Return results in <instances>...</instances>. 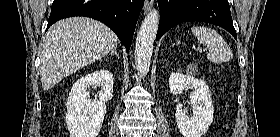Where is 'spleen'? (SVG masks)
I'll return each instance as SVG.
<instances>
[{
    "instance_id": "obj_1",
    "label": "spleen",
    "mask_w": 280,
    "mask_h": 137,
    "mask_svg": "<svg viewBox=\"0 0 280 137\" xmlns=\"http://www.w3.org/2000/svg\"><path fill=\"white\" fill-rule=\"evenodd\" d=\"M191 31L200 44L208 47L209 52L207 57L212 62H229L233 58L231 48L223 37L214 29L204 26H193Z\"/></svg>"
}]
</instances>
